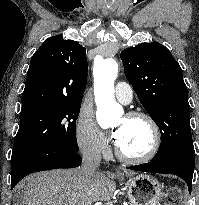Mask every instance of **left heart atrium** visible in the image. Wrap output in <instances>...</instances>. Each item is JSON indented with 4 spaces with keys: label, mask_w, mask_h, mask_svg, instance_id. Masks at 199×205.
I'll return each instance as SVG.
<instances>
[{
    "label": "left heart atrium",
    "mask_w": 199,
    "mask_h": 205,
    "mask_svg": "<svg viewBox=\"0 0 199 205\" xmlns=\"http://www.w3.org/2000/svg\"><path fill=\"white\" fill-rule=\"evenodd\" d=\"M122 135V130L121 129H115L113 132V138L118 141Z\"/></svg>",
    "instance_id": "left-heart-atrium-1"
}]
</instances>
